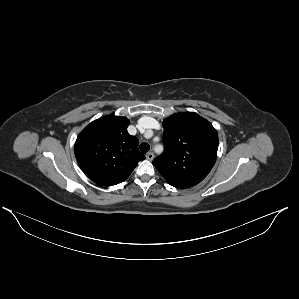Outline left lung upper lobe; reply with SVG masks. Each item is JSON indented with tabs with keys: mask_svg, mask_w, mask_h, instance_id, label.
Returning <instances> with one entry per match:
<instances>
[{
	"mask_svg": "<svg viewBox=\"0 0 299 299\" xmlns=\"http://www.w3.org/2000/svg\"><path fill=\"white\" fill-rule=\"evenodd\" d=\"M164 153L153 165L173 186L200 183L215 164L218 133L194 112L174 114L163 121Z\"/></svg>",
	"mask_w": 299,
	"mask_h": 299,
	"instance_id": "1",
	"label": "left lung upper lobe"
}]
</instances>
